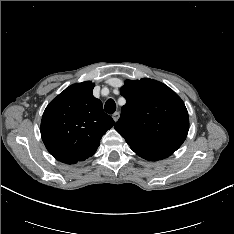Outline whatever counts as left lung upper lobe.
<instances>
[{
	"mask_svg": "<svg viewBox=\"0 0 234 234\" xmlns=\"http://www.w3.org/2000/svg\"><path fill=\"white\" fill-rule=\"evenodd\" d=\"M120 93L126 99L115 129L132 149L173 153L189 130L182 99L168 86L143 78L126 80Z\"/></svg>",
	"mask_w": 234,
	"mask_h": 234,
	"instance_id": "left-lung-upper-lobe-1",
	"label": "left lung upper lobe"
}]
</instances>
